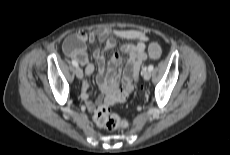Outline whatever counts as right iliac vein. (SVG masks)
<instances>
[{
    "instance_id": "obj_1",
    "label": "right iliac vein",
    "mask_w": 230,
    "mask_h": 155,
    "mask_svg": "<svg viewBox=\"0 0 230 155\" xmlns=\"http://www.w3.org/2000/svg\"><path fill=\"white\" fill-rule=\"evenodd\" d=\"M75 74L78 79L83 78V70L80 67L75 68Z\"/></svg>"
}]
</instances>
